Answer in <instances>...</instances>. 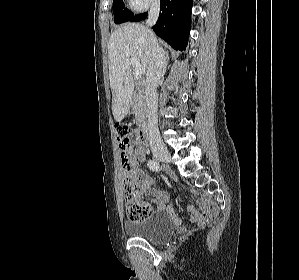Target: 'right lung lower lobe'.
Masks as SVG:
<instances>
[{
	"instance_id": "right-lung-lower-lobe-1",
	"label": "right lung lower lobe",
	"mask_w": 299,
	"mask_h": 280,
	"mask_svg": "<svg viewBox=\"0 0 299 280\" xmlns=\"http://www.w3.org/2000/svg\"><path fill=\"white\" fill-rule=\"evenodd\" d=\"M193 0H161L160 15L153 31L172 48L185 50L190 31V17ZM147 13L134 15L129 21L138 22Z\"/></svg>"
}]
</instances>
